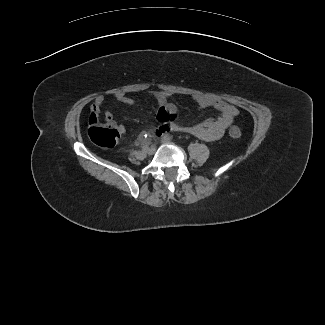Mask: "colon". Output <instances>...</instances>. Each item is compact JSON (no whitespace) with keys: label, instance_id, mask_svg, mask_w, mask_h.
<instances>
[{"label":"colon","instance_id":"obj_1","mask_svg":"<svg viewBox=\"0 0 325 325\" xmlns=\"http://www.w3.org/2000/svg\"><path fill=\"white\" fill-rule=\"evenodd\" d=\"M88 136L96 145L110 149L113 148L119 139V133L110 120L101 121L98 113H91L89 117ZM231 138L238 139L241 137V131L238 127H232L229 130Z\"/></svg>","mask_w":325,"mask_h":325}]
</instances>
